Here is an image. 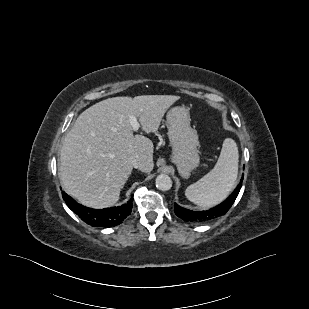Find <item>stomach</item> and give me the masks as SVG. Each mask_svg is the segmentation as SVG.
Wrapping results in <instances>:
<instances>
[{
    "mask_svg": "<svg viewBox=\"0 0 309 309\" xmlns=\"http://www.w3.org/2000/svg\"><path fill=\"white\" fill-rule=\"evenodd\" d=\"M168 137L172 147V162L177 166L182 177L199 165V144L196 130L190 126L189 110L185 107H173L166 116Z\"/></svg>",
    "mask_w": 309,
    "mask_h": 309,
    "instance_id": "obj_1",
    "label": "stomach"
}]
</instances>
